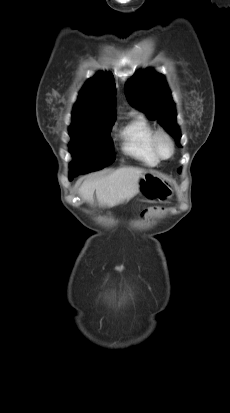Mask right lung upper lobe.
<instances>
[{"label": "right lung upper lobe", "instance_id": "obj_1", "mask_svg": "<svg viewBox=\"0 0 230 413\" xmlns=\"http://www.w3.org/2000/svg\"><path fill=\"white\" fill-rule=\"evenodd\" d=\"M115 94V82L110 73L100 72L90 78L74 105L70 127L115 119Z\"/></svg>", "mask_w": 230, "mask_h": 413}]
</instances>
